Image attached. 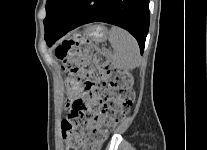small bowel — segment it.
<instances>
[{"instance_id":"obj_1","label":"small bowel","mask_w":207,"mask_h":150,"mask_svg":"<svg viewBox=\"0 0 207 150\" xmlns=\"http://www.w3.org/2000/svg\"><path fill=\"white\" fill-rule=\"evenodd\" d=\"M69 96L70 98H80L83 96L81 86L76 80H73V87H69Z\"/></svg>"}]
</instances>
